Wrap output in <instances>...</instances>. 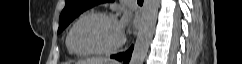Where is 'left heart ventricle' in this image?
<instances>
[{"instance_id":"1","label":"left heart ventricle","mask_w":242,"mask_h":64,"mask_svg":"<svg viewBox=\"0 0 242 64\" xmlns=\"http://www.w3.org/2000/svg\"><path fill=\"white\" fill-rule=\"evenodd\" d=\"M121 36L117 22L103 17H90L76 27L73 44L83 51L105 49L116 44Z\"/></svg>"}]
</instances>
